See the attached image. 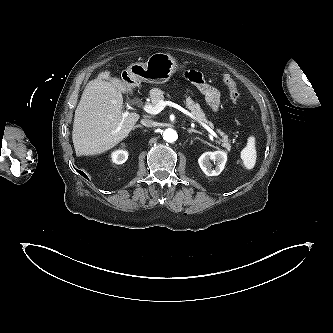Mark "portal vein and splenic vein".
<instances>
[{
    "label": "portal vein and splenic vein",
    "mask_w": 333,
    "mask_h": 333,
    "mask_svg": "<svg viewBox=\"0 0 333 333\" xmlns=\"http://www.w3.org/2000/svg\"><path fill=\"white\" fill-rule=\"evenodd\" d=\"M166 106H170V107H174L176 109H178L179 111L183 112L185 115L189 116L190 118H192L193 120L197 121L201 126H203L211 135H213L215 138H218V135L210 128L208 127L205 123H203L202 121H200L196 116H194L192 113H190L189 111H187L186 109H184L183 107H181L180 105L171 102V101H164L161 100L157 105L152 106V105H145L144 106V110L149 113V114H153L156 115L158 113H160ZM128 115V112H125L123 115V118L126 117ZM121 124L118 129L121 128Z\"/></svg>",
    "instance_id": "18ae733b"
}]
</instances>
